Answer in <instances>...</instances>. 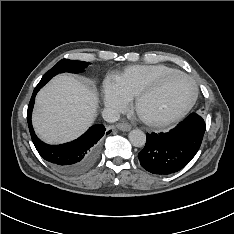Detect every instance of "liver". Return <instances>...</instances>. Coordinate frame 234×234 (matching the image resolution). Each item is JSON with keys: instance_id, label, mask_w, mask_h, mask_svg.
Listing matches in <instances>:
<instances>
[{"instance_id": "1", "label": "liver", "mask_w": 234, "mask_h": 234, "mask_svg": "<svg viewBox=\"0 0 234 234\" xmlns=\"http://www.w3.org/2000/svg\"><path fill=\"white\" fill-rule=\"evenodd\" d=\"M96 91L69 75L53 78L36 96L32 116L36 134L57 144L80 136L96 117Z\"/></svg>"}]
</instances>
